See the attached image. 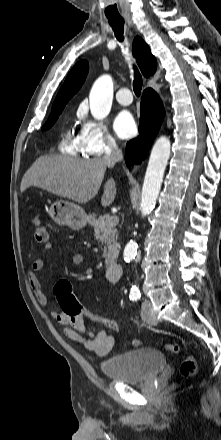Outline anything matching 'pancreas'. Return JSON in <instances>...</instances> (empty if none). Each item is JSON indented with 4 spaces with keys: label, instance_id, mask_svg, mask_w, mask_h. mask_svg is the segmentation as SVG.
<instances>
[{
    "label": "pancreas",
    "instance_id": "1",
    "mask_svg": "<svg viewBox=\"0 0 221 440\" xmlns=\"http://www.w3.org/2000/svg\"><path fill=\"white\" fill-rule=\"evenodd\" d=\"M110 219L111 217L108 214L100 216L94 221L93 227L97 239L106 245L104 247L105 257L114 260L118 256V244L115 240V237L117 238L118 236V232L115 226L110 225Z\"/></svg>",
    "mask_w": 221,
    "mask_h": 440
}]
</instances>
